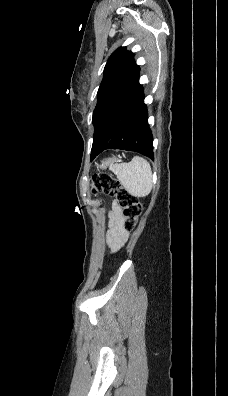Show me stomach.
Segmentation results:
<instances>
[{
  "mask_svg": "<svg viewBox=\"0 0 228 396\" xmlns=\"http://www.w3.org/2000/svg\"><path fill=\"white\" fill-rule=\"evenodd\" d=\"M117 162H119V159H117V158H108V159L102 161V163L100 165V169H106L108 166L116 164Z\"/></svg>",
  "mask_w": 228,
  "mask_h": 396,
  "instance_id": "stomach-1",
  "label": "stomach"
}]
</instances>
